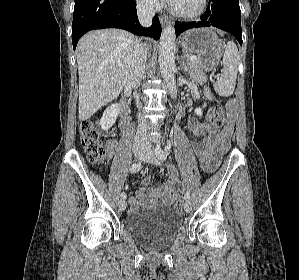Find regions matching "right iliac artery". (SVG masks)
I'll use <instances>...</instances> for the list:
<instances>
[{
  "mask_svg": "<svg viewBox=\"0 0 299 280\" xmlns=\"http://www.w3.org/2000/svg\"><path fill=\"white\" fill-rule=\"evenodd\" d=\"M141 169V163H134L130 167V171L132 173L138 172ZM121 198L126 199V194L124 192L121 193Z\"/></svg>",
  "mask_w": 299,
  "mask_h": 280,
  "instance_id": "obj_1",
  "label": "right iliac artery"
}]
</instances>
